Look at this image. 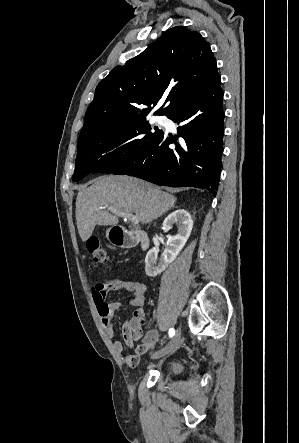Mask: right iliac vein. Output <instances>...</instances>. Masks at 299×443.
<instances>
[{"label":"right iliac vein","instance_id":"1","mask_svg":"<svg viewBox=\"0 0 299 443\" xmlns=\"http://www.w3.org/2000/svg\"><path fill=\"white\" fill-rule=\"evenodd\" d=\"M180 337H181V332L180 330H178L175 336L171 339V341L164 348L154 353L152 355V358L157 359L170 354L179 344Z\"/></svg>","mask_w":299,"mask_h":443}]
</instances>
